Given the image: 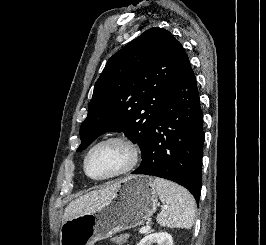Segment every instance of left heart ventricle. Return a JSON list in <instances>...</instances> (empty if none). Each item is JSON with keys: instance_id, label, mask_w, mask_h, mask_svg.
Wrapping results in <instances>:
<instances>
[{"instance_id": "obj_1", "label": "left heart ventricle", "mask_w": 266, "mask_h": 245, "mask_svg": "<svg viewBox=\"0 0 266 245\" xmlns=\"http://www.w3.org/2000/svg\"><path fill=\"white\" fill-rule=\"evenodd\" d=\"M130 160L129 149L118 141H109L97 146L87 161L88 173L97 178H105L123 171Z\"/></svg>"}]
</instances>
